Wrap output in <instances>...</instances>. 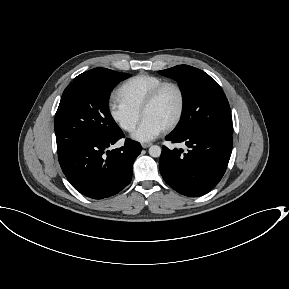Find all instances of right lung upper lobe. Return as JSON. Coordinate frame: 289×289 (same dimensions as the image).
Segmentation results:
<instances>
[{"label": "right lung upper lobe", "instance_id": "1", "mask_svg": "<svg viewBox=\"0 0 289 289\" xmlns=\"http://www.w3.org/2000/svg\"><path fill=\"white\" fill-rule=\"evenodd\" d=\"M112 70L110 69H105V68H95L90 71L84 72L80 74V77H101L104 75H107L110 73Z\"/></svg>", "mask_w": 289, "mask_h": 289}]
</instances>
